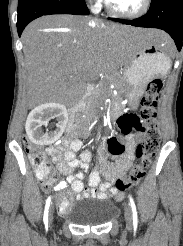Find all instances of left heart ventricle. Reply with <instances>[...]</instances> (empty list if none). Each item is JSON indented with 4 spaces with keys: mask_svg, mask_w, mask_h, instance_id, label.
Wrapping results in <instances>:
<instances>
[{
    "mask_svg": "<svg viewBox=\"0 0 183 246\" xmlns=\"http://www.w3.org/2000/svg\"><path fill=\"white\" fill-rule=\"evenodd\" d=\"M112 6L121 12L132 13L137 11L143 3V0H109Z\"/></svg>",
    "mask_w": 183,
    "mask_h": 246,
    "instance_id": "1",
    "label": "left heart ventricle"
}]
</instances>
